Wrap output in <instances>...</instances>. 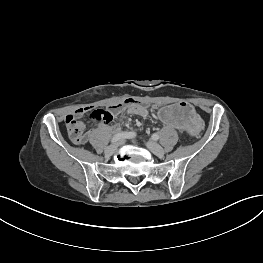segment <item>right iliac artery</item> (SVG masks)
Here are the masks:
<instances>
[{"label":"right iliac artery","instance_id":"82829eb1","mask_svg":"<svg viewBox=\"0 0 263 263\" xmlns=\"http://www.w3.org/2000/svg\"><path fill=\"white\" fill-rule=\"evenodd\" d=\"M136 136L135 132H122L114 135L111 142L116 143L117 141L124 139V138H134Z\"/></svg>","mask_w":263,"mask_h":263}]
</instances>
